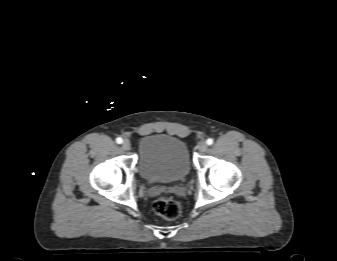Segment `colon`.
I'll return each mask as SVG.
<instances>
[{
    "label": "colon",
    "mask_w": 337,
    "mask_h": 261,
    "mask_svg": "<svg viewBox=\"0 0 337 261\" xmlns=\"http://www.w3.org/2000/svg\"><path fill=\"white\" fill-rule=\"evenodd\" d=\"M154 212L167 220L175 219L180 214V206L176 200L171 197H159L153 202Z\"/></svg>",
    "instance_id": "obj_1"
}]
</instances>
